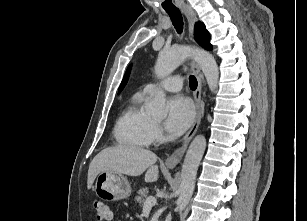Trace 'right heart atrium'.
<instances>
[{"instance_id": "obj_1", "label": "right heart atrium", "mask_w": 307, "mask_h": 221, "mask_svg": "<svg viewBox=\"0 0 307 221\" xmlns=\"http://www.w3.org/2000/svg\"><path fill=\"white\" fill-rule=\"evenodd\" d=\"M153 133L155 139H160L162 137V130L158 124H154Z\"/></svg>"}]
</instances>
